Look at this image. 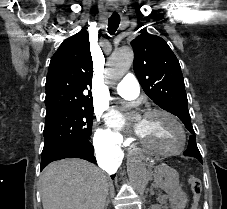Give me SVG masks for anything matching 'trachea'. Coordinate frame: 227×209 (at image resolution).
I'll return each instance as SVG.
<instances>
[{
  "mask_svg": "<svg viewBox=\"0 0 227 209\" xmlns=\"http://www.w3.org/2000/svg\"><path fill=\"white\" fill-rule=\"evenodd\" d=\"M120 24V15L118 13H113L108 19V32L113 35Z\"/></svg>",
  "mask_w": 227,
  "mask_h": 209,
  "instance_id": "1",
  "label": "trachea"
}]
</instances>
